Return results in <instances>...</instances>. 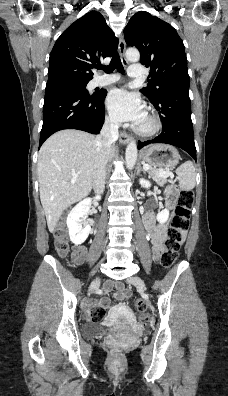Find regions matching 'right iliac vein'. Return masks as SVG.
I'll use <instances>...</instances> for the list:
<instances>
[{
	"label": "right iliac vein",
	"instance_id": "obj_1",
	"mask_svg": "<svg viewBox=\"0 0 228 396\" xmlns=\"http://www.w3.org/2000/svg\"><path fill=\"white\" fill-rule=\"evenodd\" d=\"M99 283H100V279H99V278H97L96 280H94V281L92 282V284H91L90 291H92L93 289H95V288L99 285Z\"/></svg>",
	"mask_w": 228,
	"mask_h": 396
}]
</instances>
